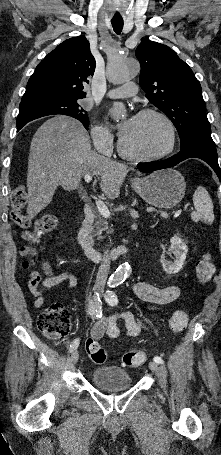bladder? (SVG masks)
<instances>
[{
    "instance_id": "31cf9c89",
    "label": "bladder",
    "mask_w": 221,
    "mask_h": 455,
    "mask_svg": "<svg viewBox=\"0 0 221 455\" xmlns=\"http://www.w3.org/2000/svg\"><path fill=\"white\" fill-rule=\"evenodd\" d=\"M90 380L94 386L104 391H118L132 386L129 373L114 365L93 369L90 372Z\"/></svg>"
}]
</instances>
